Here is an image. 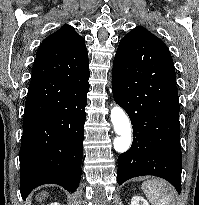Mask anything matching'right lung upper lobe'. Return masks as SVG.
I'll use <instances>...</instances> for the list:
<instances>
[{"mask_svg":"<svg viewBox=\"0 0 199 205\" xmlns=\"http://www.w3.org/2000/svg\"><path fill=\"white\" fill-rule=\"evenodd\" d=\"M89 74L88 52L85 40L70 25H64L49 35L41 44L32 68L31 82H46L48 93L58 94L65 88L68 78L84 77ZM33 101H27L25 107Z\"/></svg>","mask_w":199,"mask_h":205,"instance_id":"right-lung-upper-lobe-1","label":"right lung upper lobe"}]
</instances>
